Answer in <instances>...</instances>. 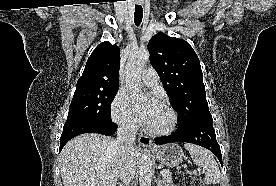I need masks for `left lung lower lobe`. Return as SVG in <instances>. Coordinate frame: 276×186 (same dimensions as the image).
<instances>
[{
  "mask_svg": "<svg viewBox=\"0 0 276 186\" xmlns=\"http://www.w3.org/2000/svg\"><path fill=\"white\" fill-rule=\"evenodd\" d=\"M212 122V118L195 121L182 128H178L173 135L156 138L155 144L160 145L171 142L193 143L209 149L216 155L222 164L221 150L216 140V134Z\"/></svg>",
  "mask_w": 276,
  "mask_h": 186,
  "instance_id": "1",
  "label": "left lung lower lobe"
}]
</instances>
